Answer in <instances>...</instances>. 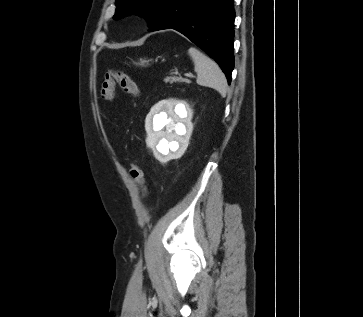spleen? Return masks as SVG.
I'll use <instances>...</instances> for the list:
<instances>
[{
	"label": "spleen",
	"mask_w": 363,
	"mask_h": 317,
	"mask_svg": "<svg viewBox=\"0 0 363 317\" xmlns=\"http://www.w3.org/2000/svg\"><path fill=\"white\" fill-rule=\"evenodd\" d=\"M188 53L194 62L197 84L214 88L222 96H225L227 80L218 64L194 47L189 48Z\"/></svg>",
	"instance_id": "3e777b00"
}]
</instances>
